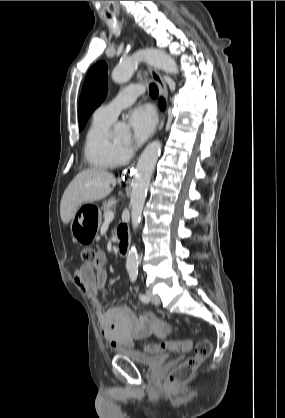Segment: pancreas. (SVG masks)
<instances>
[{
    "instance_id": "obj_1",
    "label": "pancreas",
    "mask_w": 285,
    "mask_h": 418,
    "mask_svg": "<svg viewBox=\"0 0 285 418\" xmlns=\"http://www.w3.org/2000/svg\"><path fill=\"white\" fill-rule=\"evenodd\" d=\"M111 209V204L110 203H104L103 204V211H104V215Z\"/></svg>"
}]
</instances>
